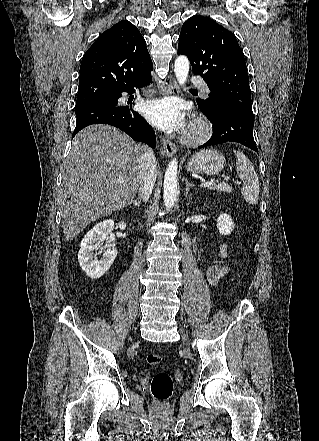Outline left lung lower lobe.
Masks as SVG:
<instances>
[{"mask_svg": "<svg viewBox=\"0 0 319 441\" xmlns=\"http://www.w3.org/2000/svg\"><path fill=\"white\" fill-rule=\"evenodd\" d=\"M199 108L213 125L212 137L204 145L199 146V149L226 142H237L258 152L253 138L254 117L231 107L208 110L199 105Z\"/></svg>", "mask_w": 319, "mask_h": 441, "instance_id": "obj_1", "label": "left lung lower lobe"}]
</instances>
